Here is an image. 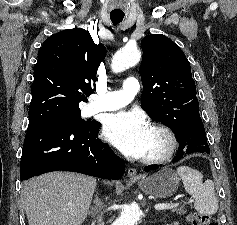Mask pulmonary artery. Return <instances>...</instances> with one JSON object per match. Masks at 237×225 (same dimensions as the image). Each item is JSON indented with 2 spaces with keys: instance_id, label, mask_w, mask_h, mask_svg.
Segmentation results:
<instances>
[{
  "instance_id": "1",
  "label": "pulmonary artery",
  "mask_w": 237,
  "mask_h": 225,
  "mask_svg": "<svg viewBox=\"0 0 237 225\" xmlns=\"http://www.w3.org/2000/svg\"><path fill=\"white\" fill-rule=\"evenodd\" d=\"M139 91V82L134 77H128L119 91L103 92L90 101L88 113L95 114L102 111H113L129 104Z\"/></svg>"
}]
</instances>
